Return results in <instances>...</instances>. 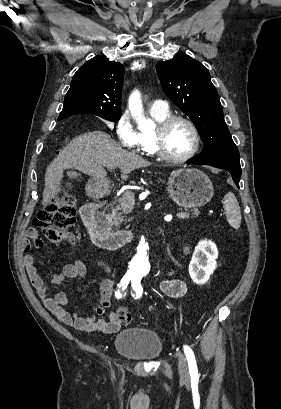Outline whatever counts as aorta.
Segmentation results:
<instances>
[{"label":"aorta","mask_w":281,"mask_h":409,"mask_svg":"<svg viewBox=\"0 0 281 409\" xmlns=\"http://www.w3.org/2000/svg\"><path fill=\"white\" fill-rule=\"evenodd\" d=\"M130 109L132 114L135 115L141 130H148L152 127V121L147 120L142 114V105L138 95L133 96L130 102Z\"/></svg>","instance_id":"aorta-1"}]
</instances>
